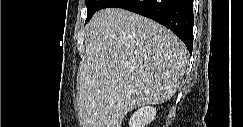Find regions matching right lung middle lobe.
Wrapping results in <instances>:
<instances>
[{
    "label": "right lung middle lobe",
    "mask_w": 243,
    "mask_h": 127,
    "mask_svg": "<svg viewBox=\"0 0 243 127\" xmlns=\"http://www.w3.org/2000/svg\"><path fill=\"white\" fill-rule=\"evenodd\" d=\"M105 0H85L87 7V19L85 24L92 18L94 13L100 9Z\"/></svg>",
    "instance_id": "obj_1"
}]
</instances>
